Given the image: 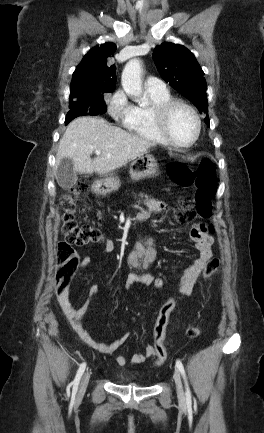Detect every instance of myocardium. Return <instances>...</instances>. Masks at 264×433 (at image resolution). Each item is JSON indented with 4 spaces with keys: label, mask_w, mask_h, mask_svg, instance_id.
<instances>
[{
    "label": "myocardium",
    "mask_w": 264,
    "mask_h": 433,
    "mask_svg": "<svg viewBox=\"0 0 264 433\" xmlns=\"http://www.w3.org/2000/svg\"><path fill=\"white\" fill-rule=\"evenodd\" d=\"M177 108L187 109L192 114L196 124V130L193 138L184 144L176 142L169 132L170 116ZM153 115L157 128L168 145L176 148H188L193 146L198 141L202 129L201 118L197 110L187 102L182 100H170L166 103L156 106L153 109Z\"/></svg>",
    "instance_id": "myocardium-1"
}]
</instances>
